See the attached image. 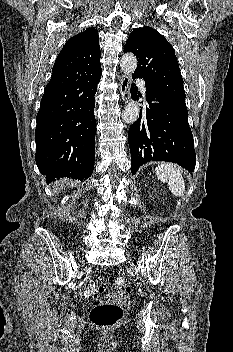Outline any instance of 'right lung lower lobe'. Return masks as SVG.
I'll list each match as a JSON object with an SVG mask.
<instances>
[{
  "mask_svg": "<svg viewBox=\"0 0 233 352\" xmlns=\"http://www.w3.org/2000/svg\"><path fill=\"white\" fill-rule=\"evenodd\" d=\"M98 74L45 90L35 130L36 164L47 182L91 176L95 159V94Z\"/></svg>",
  "mask_w": 233,
  "mask_h": 352,
  "instance_id": "obj_1",
  "label": "right lung lower lobe"
}]
</instances>
